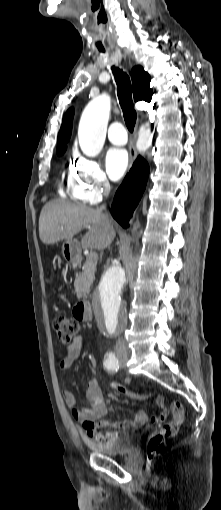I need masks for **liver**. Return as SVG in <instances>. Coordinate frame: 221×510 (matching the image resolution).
I'll use <instances>...</instances> for the list:
<instances>
[{"mask_svg":"<svg viewBox=\"0 0 221 510\" xmlns=\"http://www.w3.org/2000/svg\"><path fill=\"white\" fill-rule=\"evenodd\" d=\"M88 231L81 240L82 248L104 250L115 238L113 226L102 214L86 205H76L56 199L44 205L39 217V236L46 245L72 239L83 228Z\"/></svg>","mask_w":221,"mask_h":510,"instance_id":"obj_1","label":"liver"}]
</instances>
